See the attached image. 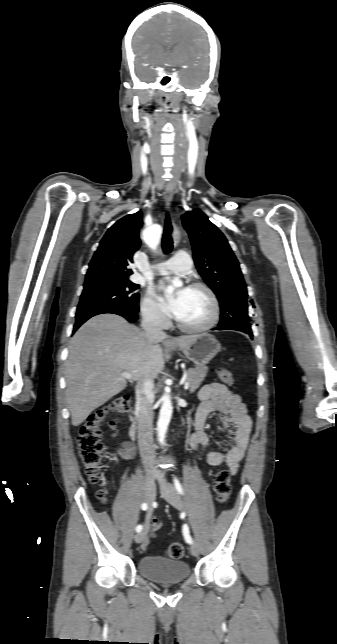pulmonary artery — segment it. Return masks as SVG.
Listing matches in <instances>:
<instances>
[{
    "instance_id": "obj_1",
    "label": "pulmonary artery",
    "mask_w": 337,
    "mask_h": 644,
    "mask_svg": "<svg viewBox=\"0 0 337 644\" xmlns=\"http://www.w3.org/2000/svg\"><path fill=\"white\" fill-rule=\"evenodd\" d=\"M192 267L190 256L186 252H178L168 261L154 266L153 268H164L174 273H182L188 271Z\"/></svg>"
}]
</instances>
